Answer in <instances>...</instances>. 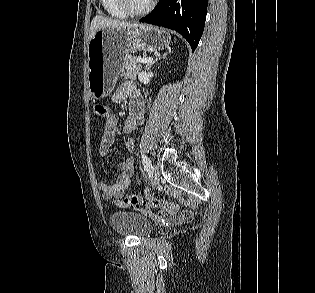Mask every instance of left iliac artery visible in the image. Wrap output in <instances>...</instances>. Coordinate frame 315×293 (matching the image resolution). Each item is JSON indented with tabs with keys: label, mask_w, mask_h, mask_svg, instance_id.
I'll return each mask as SVG.
<instances>
[{
	"label": "left iliac artery",
	"mask_w": 315,
	"mask_h": 293,
	"mask_svg": "<svg viewBox=\"0 0 315 293\" xmlns=\"http://www.w3.org/2000/svg\"><path fill=\"white\" fill-rule=\"evenodd\" d=\"M142 161H143L144 169L146 171H149L150 168H151V161H150V159L145 154H142Z\"/></svg>",
	"instance_id": "obj_1"
}]
</instances>
